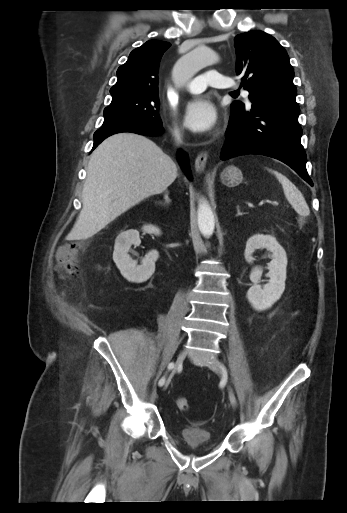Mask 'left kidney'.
<instances>
[{
  "label": "left kidney",
  "instance_id": "1",
  "mask_svg": "<svg viewBox=\"0 0 347 513\" xmlns=\"http://www.w3.org/2000/svg\"><path fill=\"white\" fill-rule=\"evenodd\" d=\"M266 248L272 252V261L268 264L270 280L263 287L259 284L262 268L254 267L250 273L253 286L247 291L248 301L254 309L263 311L270 308L280 299L285 289L287 255L284 248L271 235L255 234L246 242L244 257L246 262L252 263V254L257 249Z\"/></svg>",
  "mask_w": 347,
  "mask_h": 513
}]
</instances>
